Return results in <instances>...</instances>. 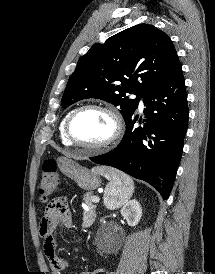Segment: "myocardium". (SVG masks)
Masks as SVG:
<instances>
[{"label":"myocardium","mask_w":215,"mask_h":274,"mask_svg":"<svg viewBox=\"0 0 215 274\" xmlns=\"http://www.w3.org/2000/svg\"><path fill=\"white\" fill-rule=\"evenodd\" d=\"M88 109H96V110L105 112L106 114L110 116L113 122V132L111 136L99 144L82 143L78 141L72 134L71 126L74 118L80 112ZM122 134H123V121L119 112L113 107L105 104L88 103V104L81 105L70 112L65 122V135L67 139L71 142V144L83 149L90 150V151L99 152V151L107 150L121 138Z\"/></svg>","instance_id":"f54148a6"}]
</instances>
